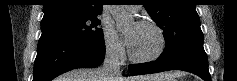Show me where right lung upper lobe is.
<instances>
[{"label": "right lung upper lobe", "mask_w": 237, "mask_h": 81, "mask_svg": "<svg viewBox=\"0 0 237 81\" xmlns=\"http://www.w3.org/2000/svg\"><path fill=\"white\" fill-rule=\"evenodd\" d=\"M102 2L103 0H46L43 19L61 15H98L102 10Z\"/></svg>", "instance_id": "1"}]
</instances>
